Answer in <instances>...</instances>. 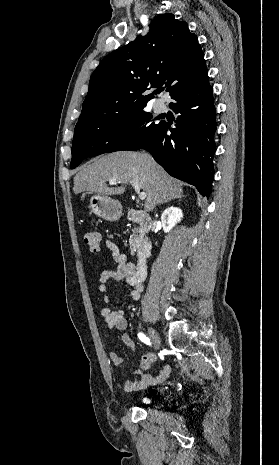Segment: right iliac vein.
Masks as SVG:
<instances>
[{
  "label": "right iliac vein",
  "instance_id": "obj_1",
  "mask_svg": "<svg viewBox=\"0 0 279 465\" xmlns=\"http://www.w3.org/2000/svg\"><path fill=\"white\" fill-rule=\"evenodd\" d=\"M148 333L152 339V341L154 342L155 346L157 348L160 347V344H161V340H160V336L159 334L157 333V331L155 329H153L152 327H149L148 328Z\"/></svg>",
  "mask_w": 279,
  "mask_h": 465
}]
</instances>
